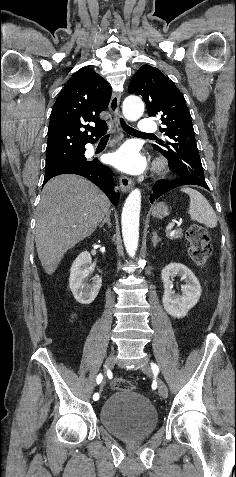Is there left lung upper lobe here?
Here are the masks:
<instances>
[{
  "instance_id": "left-lung-upper-lobe-1",
  "label": "left lung upper lobe",
  "mask_w": 236,
  "mask_h": 477,
  "mask_svg": "<svg viewBox=\"0 0 236 477\" xmlns=\"http://www.w3.org/2000/svg\"><path fill=\"white\" fill-rule=\"evenodd\" d=\"M128 91L144 98L150 117L161 119L166 139L152 146L169 160V167L181 177L205 182L190 112L175 84L159 69L143 65Z\"/></svg>"
}]
</instances>
